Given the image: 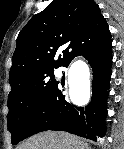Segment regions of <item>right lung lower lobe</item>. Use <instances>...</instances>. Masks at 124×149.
Returning a JSON list of instances; mask_svg holds the SVG:
<instances>
[{"mask_svg":"<svg viewBox=\"0 0 124 149\" xmlns=\"http://www.w3.org/2000/svg\"><path fill=\"white\" fill-rule=\"evenodd\" d=\"M112 41L109 38L101 46L83 54L92 67V98L85 107H77L63 95V84L43 102L28 122L21 141L42 131H66L93 141L106 132V101L109 93L112 64ZM68 67V66H67Z\"/></svg>","mask_w":124,"mask_h":149,"instance_id":"98d812e1","label":"right lung lower lobe"}]
</instances>
